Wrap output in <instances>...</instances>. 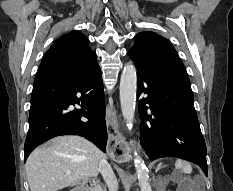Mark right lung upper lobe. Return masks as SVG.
Masks as SVG:
<instances>
[{
	"label": "right lung upper lobe",
	"instance_id": "right-lung-upper-lobe-1",
	"mask_svg": "<svg viewBox=\"0 0 233 191\" xmlns=\"http://www.w3.org/2000/svg\"><path fill=\"white\" fill-rule=\"evenodd\" d=\"M81 32L72 31L60 38L44 56L35 80L45 77L76 78L97 65L96 53Z\"/></svg>",
	"mask_w": 233,
	"mask_h": 191
}]
</instances>
